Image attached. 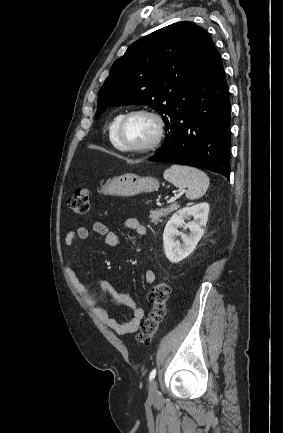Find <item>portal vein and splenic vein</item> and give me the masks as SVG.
Instances as JSON below:
<instances>
[{
    "mask_svg": "<svg viewBox=\"0 0 283 433\" xmlns=\"http://www.w3.org/2000/svg\"><path fill=\"white\" fill-rule=\"evenodd\" d=\"M170 202H173V200H171V198H170Z\"/></svg>",
    "mask_w": 283,
    "mask_h": 433,
    "instance_id": "obj_1",
    "label": "portal vein and splenic vein"
}]
</instances>
